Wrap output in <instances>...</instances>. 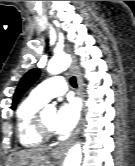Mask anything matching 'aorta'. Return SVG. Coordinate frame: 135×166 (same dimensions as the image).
<instances>
[{"label":"aorta","instance_id":"762f6f07","mask_svg":"<svg viewBox=\"0 0 135 166\" xmlns=\"http://www.w3.org/2000/svg\"><path fill=\"white\" fill-rule=\"evenodd\" d=\"M71 63V58L69 55L62 54L54 56L48 63L47 71L52 74H60L61 72L65 71ZM47 110H55L54 105L46 106ZM82 161V152H81V145L80 143H76L73 145L65 160L63 166H81Z\"/></svg>","mask_w":135,"mask_h":166}]
</instances>
